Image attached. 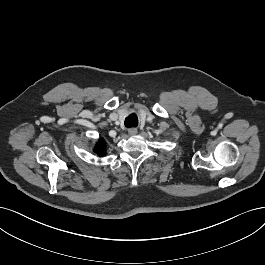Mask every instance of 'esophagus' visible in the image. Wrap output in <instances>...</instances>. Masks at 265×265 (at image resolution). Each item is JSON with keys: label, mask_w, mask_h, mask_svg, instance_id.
<instances>
[{"label": "esophagus", "mask_w": 265, "mask_h": 265, "mask_svg": "<svg viewBox=\"0 0 265 265\" xmlns=\"http://www.w3.org/2000/svg\"><path fill=\"white\" fill-rule=\"evenodd\" d=\"M137 128H130L129 130H128V133H129V135H131V136H133V135H136L137 134Z\"/></svg>", "instance_id": "34e87169"}]
</instances>
